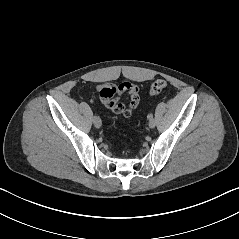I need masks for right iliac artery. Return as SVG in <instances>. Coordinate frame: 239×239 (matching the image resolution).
Listing matches in <instances>:
<instances>
[{"label":"right iliac artery","instance_id":"82829eb1","mask_svg":"<svg viewBox=\"0 0 239 239\" xmlns=\"http://www.w3.org/2000/svg\"><path fill=\"white\" fill-rule=\"evenodd\" d=\"M97 118H98V117L95 115V116L93 117V121H95Z\"/></svg>","mask_w":239,"mask_h":239}]
</instances>
